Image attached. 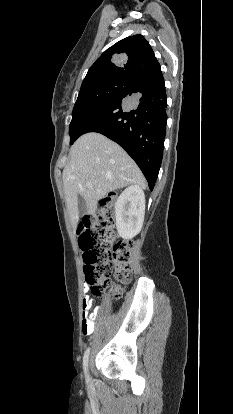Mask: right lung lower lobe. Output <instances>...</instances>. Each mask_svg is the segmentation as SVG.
Masks as SVG:
<instances>
[{"label":"right lung lower lobe","instance_id":"98d812e1","mask_svg":"<svg viewBox=\"0 0 233 414\" xmlns=\"http://www.w3.org/2000/svg\"><path fill=\"white\" fill-rule=\"evenodd\" d=\"M132 82L123 95L89 115L78 136L98 132L117 142L140 167L152 190L162 161L167 122L164 78L160 71Z\"/></svg>","mask_w":233,"mask_h":414}]
</instances>
